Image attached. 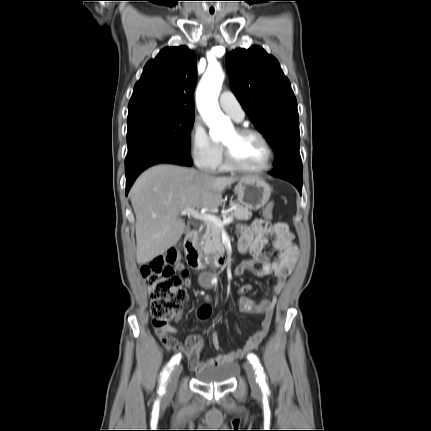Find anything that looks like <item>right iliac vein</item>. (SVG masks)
<instances>
[{
    "label": "right iliac vein",
    "instance_id": "obj_1",
    "mask_svg": "<svg viewBox=\"0 0 431 431\" xmlns=\"http://www.w3.org/2000/svg\"><path fill=\"white\" fill-rule=\"evenodd\" d=\"M183 370V366L181 364H177L171 371L170 382L168 385V391H173L176 388L179 376Z\"/></svg>",
    "mask_w": 431,
    "mask_h": 431
}]
</instances>
